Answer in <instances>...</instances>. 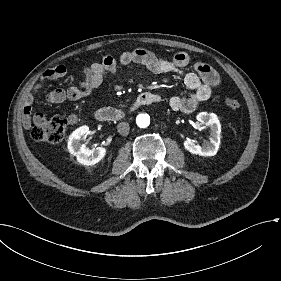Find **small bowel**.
Masks as SVG:
<instances>
[{"mask_svg":"<svg viewBox=\"0 0 281 281\" xmlns=\"http://www.w3.org/2000/svg\"><path fill=\"white\" fill-rule=\"evenodd\" d=\"M190 64L189 56L184 52H178L171 58H163L145 49H135L120 54L118 57L104 56L100 61L94 62L80 70V80L76 85L68 88H56L47 95L50 103H62L66 100L76 101L91 94L104 80L107 73H113L122 67L142 65L153 73H175L183 77L184 84L192 91L186 95H174L168 99L169 107L175 112L191 113L212 94L214 87L220 84L219 74L206 63H196L195 71L185 72ZM67 70L63 65H58L46 70L41 80H53L65 76ZM40 84H36L25 96V105L22 111V123L26 131L33 129L34 122L43 123L45 115L34 113L31 117V109L36 92ZM162 96L151 93L150 103H159Z\"/></svg>","mask_w":281,"mask_h":281,"instance_id":"small-bowel-1","label":"small bowel"}]
</instances>
